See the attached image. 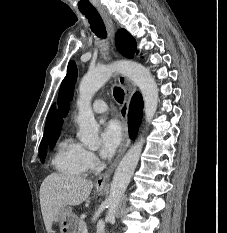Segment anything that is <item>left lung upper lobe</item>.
<instances>
[{"mask_svg": "<svg viewBox=\"0 0 227 233\" xmlns=\"http://www.w3.org/2000/svg\"><path fill=\"white\" fill-rule=\"evenodd\" d=\"M116 46L118 51L127 58H133L136 53V42L135 39L125 30L120 29L117 31ZM77 78V67L74 61H70L68 64L67 75L63 79L58 96L59 111L57 115V122L53 131V137L50 146L55 145L56 139L59 136L62 117H65L69 111L70 100L74 93V85Z\"/></svg>", "mask_w": 227, "mask_h": 233, "instance_id": "1", "label": "left lung upper lobe"}]
</instances>
